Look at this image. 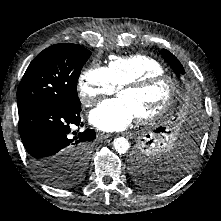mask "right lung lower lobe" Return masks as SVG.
<instances>
[{
	"mask_svg": "<svg viewBox=\"0 0 221 221\" xmlns=\"http://www.w3.org/2000/svg\"><path fill=\"white\" fill-rule=\"evenodd\" d=\"M81 107L39 102L18 109L19 133L37 174L52 165L62 164L64 156L73 148L89 143L96 137L92 129L73 132L71 127L83 126Z\"/></svg>",
	"mask_w": 221,
	"mask_h": 221,
	"instance_id": "obj_1",
	"label": "right lung lower lobe"
}]
</instances>
